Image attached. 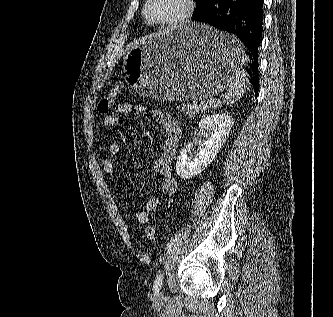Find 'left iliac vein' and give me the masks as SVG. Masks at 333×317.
I'll use <instances>...</instances> for the list:
<instances>
[{"mask_svg":"<svg viewBox=\"0 0 333 317\" xmlns=\"http://www.w3.org/2000/svg\"><path fill=\"white\" fill-rule=\"evenodd\" d=\"M162 296H163V293L161 291H157L156 297L157 298H162Z\"/></svg>","mask_w":333,"mask_h":317,"instance_id":"1","label":"left iliac vein"}]
</instances>
